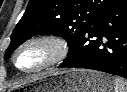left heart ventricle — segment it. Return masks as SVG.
Returning <instances> with one entry per match:
<instances>
[{
  "label": "left heart ventricle",
  "mask_w": 127,
  "mask_h": 92,
  "mask_svg": "<svg viewBox=\"0 0 127 92\" xmlns=\"http://www.w3.org/2000/svg\"><path fill=\"white\" fill-rule=\"evenodd\" d=\"M51 56L50 48L45 44H32L24 48L17 57L22 69H32L44 64Z\"/></svg>",
  "instance_id": "left-heart-ventricle-1"
}]
</instances>
